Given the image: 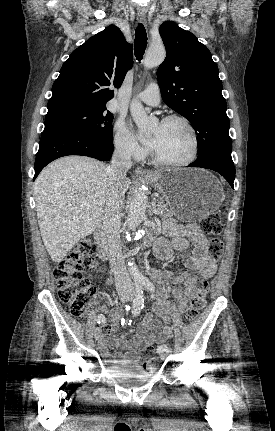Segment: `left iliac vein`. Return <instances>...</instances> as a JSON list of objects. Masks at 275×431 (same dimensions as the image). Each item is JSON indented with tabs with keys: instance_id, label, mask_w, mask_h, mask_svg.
I'll use <instances>...</instances> for the list:
<instances>
[{
	"instance_id": "4c4485c4",
	"label": "left iliac vein",
	"mask_w": 275,
	"mask_h": 431,
	"mask_svg": "<svg viewBox=\"0 0 275 431\" xmlns=\"http://www.w3.org/2000/svg\"><path fill=\"white\" fill-rule=\"evenodd\" d=\"M170 354V349L169 348H167L165 351H163L161 354H160V358L161 359H166L167 357H168V355Z\"/></svg>"
}]
</instances>
